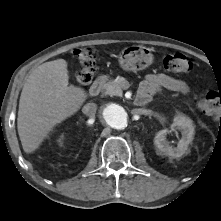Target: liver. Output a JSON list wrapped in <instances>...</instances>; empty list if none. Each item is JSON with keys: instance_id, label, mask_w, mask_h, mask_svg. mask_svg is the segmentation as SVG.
I'll return each mask as SVG.
<instances>
[{"instance_id": "1", "label": "liver", "mask_w": 221, "mask_h": 221, "mask_svg": "<svg viewBox=\"0 0 221 221\" xmlns=\"http://www.w3.org/2000/svg\"><path fill=\"white\" fill-rule=\"evenodd\" d=\"M67 62L41 64L28 76L19 100L17 129L24 152H34L50 131L74 115L87 99L80 87L69 86Z\"/></svg>"}]
</instances>
